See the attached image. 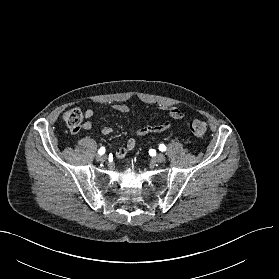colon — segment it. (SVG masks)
I'll return each instance as SVG.
<instances>
[{"instance_id": "5ec220e1", "label": "colon", "mask_w": 279, "mask_h": 279, "mask_svg": "<svg viewBox=\"0 0 279 279\" xmlns=\"http://www.w3.org/2000/svg\"><path fill=\"white\" fill-rule=\"evenodd\" d=\"M63 120L66 126L72 133H77L83 122V114L81 110L74 108L70 109L63 115ZM191 132L198 138H204L207 133V125L204 121L199 119L191 120L189 124Z\"/></svg>"}]
</instances>
